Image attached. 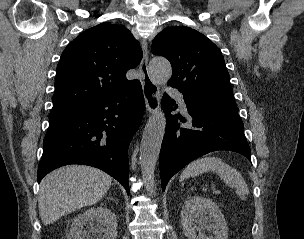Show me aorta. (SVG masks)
Instances as JSON below:
<instances>
[{
	"label": "aorta",
	"mask_w": 304,
	"mask_h": 239,
	"mask_svg": "<svg viewBox=\"0 0 304 239\" xmlns=\"http://www.w3.org/2000/svg\"><path fill=\"white\" fill-rule=\"evenodd\" d=\"M150 74L157 84L166 83L172 75L169 61L163 57L153 58L150 62ZM165 127V114L161 108H156L145 126L139 157L143 181L147 191L151 194L154 192V171L160 154Z\"/></svg>",
	"instance_id": "1"
}]
</instances>
